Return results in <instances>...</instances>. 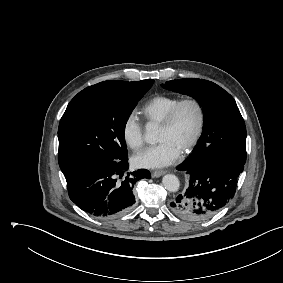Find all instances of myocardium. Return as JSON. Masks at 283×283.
I'll return each mask as SVG.
<instances>
[{"instance_id": "1", "label": "myocardium", "mask_w": 283, "mask_h": 283, "mask_svg": "<svg viewBox=\"0 0 283 283\" xmlns=\"http://www.w3.org/2000/svg\"><path fill=\"white\" fill-rule=\"evenodd\" d=\"M188 104H191L195 107L197 111L198 120H197L196 129H195V132L192 138L182 149L183 153H187L191 151L197 145L198 141L200 140L202 136L204 126H205V120H206V113H205V109H204L202 102L195 97H186V98L181 99L174 105V107L170 110V112L166 116L165 120L160 125V127L163 129H171L177 120L180 110L185 105H188Z\"/></svg>"}]
</instances>
